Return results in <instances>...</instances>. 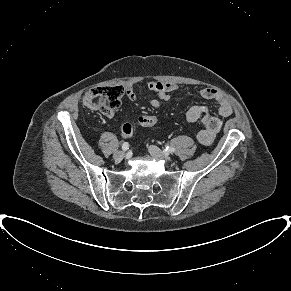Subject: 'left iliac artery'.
<instances>
[{
    "label": "left iliac artery",
    "mask_w": 291,
    "mask_h": 291,
    "mask_svg": "<svg viewBox=\"0 0 291 291\" xmlns=\"http://www.w3.org/2000/svg\"><path fill=\"white\" fill-rule=\"evenodd\" d=\"M164 152H165L166 154H170V153L172 154V153L175 152V149H174L173 147H169V146H167V147H165Z\"/></svg>",
    "instance_id": "1"
}]
</instances>
